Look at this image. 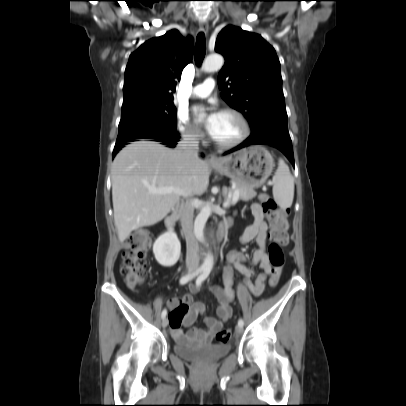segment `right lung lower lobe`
Segmentation results:
<instances>
[{
  "label": "right lung lower lobe",
  "mask_w": 406,
  "mask_h": 406,
  "mask_svg": "<svg viewBox=\"0 0 406 406\" xmlns=\"http://www.w3.org/2000/svg\"><path fill=\"white\" fill-rule=\"evenodd\" d=\"M150 139H153L154 141H157V142H161L162 144L167 145V147L174 148L175 145L177 144V141H179V135H178L177 132H175V133L170 134V135H164V136H160V137H153V138H150ZM130 141H135V139L125 141V142H116L114 150H113V156H115L121 150V148H123Z\"/></svg>",
  "instance_id": "right-lung-lower-lobe-1"
}]
</instances>
